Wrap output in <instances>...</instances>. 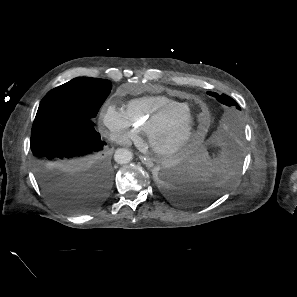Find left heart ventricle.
I'll return each instance as SVG.
<instances>
[{"label":"left heart ventricle","mask_w":297,"mask_h":297,"mask_svg":"<svg viewBox=\"0 0 297 297\" xmlns=\"http://www.w3.org/2000/svg\"><path fill=\"white\" fill-rule=\"evenodd\" d=\"M187 126L188 122L185 120L170 125L168 129L160 135L159 143L162 145H167L180 139L184 134Z\"/></svg>","instance_id":"1"}]
</instances>
